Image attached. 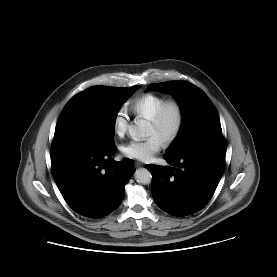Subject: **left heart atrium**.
I'll list each match as a JSON object with an SVG mask.
<instances>
[{"instance_id": "39dd6f15", "label": "left heart atrium", "mask_w": 277, "mask_h": 277, "mask_svg": "<svg viewBox=\"0 0 277 277\" xmlns=\"http://www.w3.org/2000/svg\"><path fill=\"white\" fill-rule=\"evenodd\" d=\"M162 146V140L156 135H151L144 140H132L126 143L122 150L129 158L148 161L160 151Z\"/></svg>"}]
</instances>
